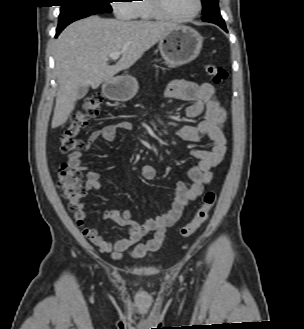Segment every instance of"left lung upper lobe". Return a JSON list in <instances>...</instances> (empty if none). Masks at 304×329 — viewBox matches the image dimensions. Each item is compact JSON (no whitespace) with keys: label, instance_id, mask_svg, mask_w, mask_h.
<instances>
[{"label":"left lung upper lobe","instance_id":"left-lung-upper-lobe-1","mask_svg":"<svg viewBox=\"0 0 304 329\" xmlns=\"http://www.w3.org/2000/svg\"><path fill=\"white\" fill-rule=\"evenodd\" d=\"M203 13L210 9L212 6L218 5V0H202Z\"/></svg>","mask_w":304,"mask_h":329}]
</instances>
